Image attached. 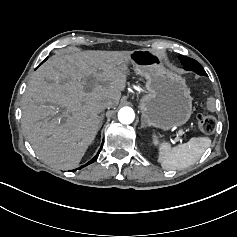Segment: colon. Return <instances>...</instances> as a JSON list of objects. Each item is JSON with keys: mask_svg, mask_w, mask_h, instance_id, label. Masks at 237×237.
Returning <instances> with one entry per match:
<instances>
[{"mask_svg": "<svg viewBox=\"0 0 237 237\" xmlns=\"http://www.w3.org/2000/svg\"><path fill=\"white\" fill-rule=\"evenodd\" d=\"M216 106V101L214 98L208 100V107L214 108ZM197 125L201 132L209 134L215 130L216 120L213 116L208 114H201L198 116Z\"/></svg>", "mask_w": 237, "mask_h": 237, "instance_id": "obj_1", "label": "colon"}]
</instances>
